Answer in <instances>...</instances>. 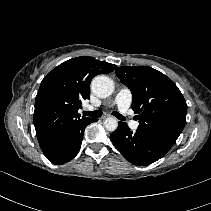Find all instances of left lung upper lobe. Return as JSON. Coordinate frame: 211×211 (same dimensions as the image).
Returning <instances> with one entry per match:
<instances>
[{
	"mask_svg": "<svg viewBox=\"0 0 211 211\" xmlns=\"http://www.w3.org/2000/svg\"><path fill=\"white\" fill-rule=\"evenodd\" d=\"M115 73L133 94L138 130L168 152L186 123L187 104L176 84L147 66H122Z\"/></svg>",
	"mask_w": 211,
	"mask_h": 211,
	"instance_id": "5c2ea615",
	"label": "left lung upper lobe"
}]
</instances>
